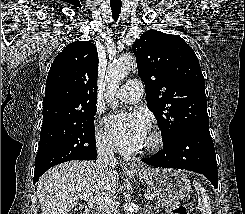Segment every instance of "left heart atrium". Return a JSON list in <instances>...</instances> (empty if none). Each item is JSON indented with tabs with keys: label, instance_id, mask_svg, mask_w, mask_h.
Instances as JSON below:
<instances>
[{
	"label": "left heart atrium",
	"instance_id": "1",
	"mask_svg": "<svg viewBox=\"0 0 245 214\" xmlns=\"http://www.w3.org/2000/svg\"><path fill=\"white\" fill-rule=\"evenodd\" d=\"M111 144L122 153L140 150L149 136L147 119L140 114H116L105 120Z\"/></svg>",
	"mask_w": 245,
	"mask_h": 214
}]
</instances>
